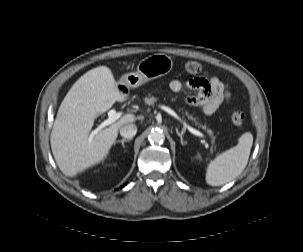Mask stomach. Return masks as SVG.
I'll list each match as a JSON object with an SVG mask.
<instances>
[{
    "instance_id": "obj_1",
    "label": "stomach",
    "mask_w": 303,
    "mask_h": 252,
    "mask_svg": "<svg viewBox=\"0 0 303 252\" xmlns=\"http://www.w3.org/2000/svg\"><path fill=\"white\" fill-rule=\"evenodd\" d=\"M173 67L172 59L165 54L150 55L139 62L136 72L124 74L118 85L126 91L137 88L149 80L168 74Z\"/></svg>"
}]
</instances>
